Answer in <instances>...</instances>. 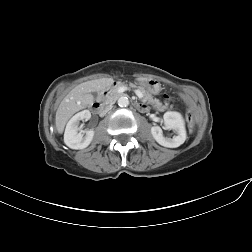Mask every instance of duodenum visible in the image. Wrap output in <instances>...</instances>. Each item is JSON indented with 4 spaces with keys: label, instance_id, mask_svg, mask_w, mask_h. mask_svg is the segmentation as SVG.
I'll return each mask as SVG.
<instances>
[{
    "label": "duodenum",
    "instance_id": "duodenum-1",
    "mask_svg": "<svg viewBox=\"0 0 252 252\" xmlns=\"http://www.w3.org/2000/svg\"><path fill=\"white\" fill-rule=\"evenodd\" d=\"M114 87H115V84H113V85L107 90V92H105V93L102 95L101 100H97V101H95V102L93 103L92 108H93V110H94L95 112H100V111L103 110V99H105L106 97L109 96V93H110L111 89L114 88ZM143 106H145V105H142V104L139 105V107L142 108V109L144 108Z\"/></svg>",
    "mask_w": 252,
    "mask_h": 252
}]
</instances>
